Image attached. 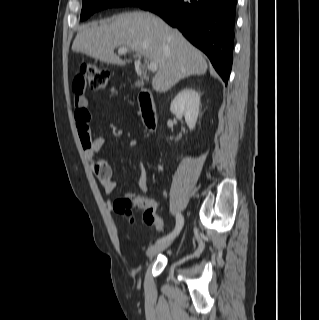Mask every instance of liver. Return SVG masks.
<instances>
[{
    "label": "liver",
    "instance_id": "liver-1",
    "mask_svg": "<svg viewBox=\"0 0 319 320\" xmlns=\"http://www.w3.org/2000/svg\"><path fill=\"white\" fill-rule=\"evenodd\" d=\"M116 47H126L157 63L158 71L152 80L157 92L168 91L185 77L204 75L208 69L198 49L178 30L148 12L123 13L83 25L72 51L110 64L130 63L114 53Z\"/></svg>",
    "mask_w": 319,
    "mask_h": 320
}]
</instances>
